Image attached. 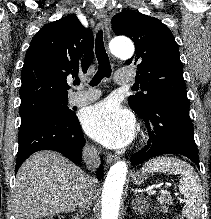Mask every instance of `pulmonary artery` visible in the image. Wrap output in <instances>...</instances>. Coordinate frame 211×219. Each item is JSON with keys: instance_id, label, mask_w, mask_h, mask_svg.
I'll list each match as a JSON object with an SVG mask.
<instances>
[{"instance_id": "1", "label": "pulmonary artery", "mask_w": 211, "mask_h": 219, "mask_svg": "<svg viewBox=\"0 0 211 219\" xmlns=\"http://www.w3.org/2000/svg\"><path fill=\"white\" fill-rule=\"evenodd\" d=\"M116 82L118 84H129L132 82L131 73L127 70L118 71L116 73ZM100 96V92L95 91H79L74 92L69 96V104L70 105H86L94 100H96Z\"/></svg>"}]
</instances>
